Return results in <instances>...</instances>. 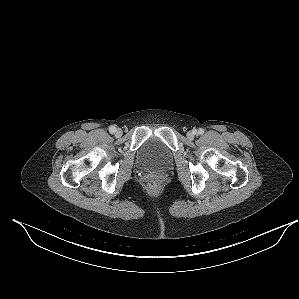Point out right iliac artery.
<instances>
[{"mask_svg": "<svg viewBox=\"0 0 299 299\" xmlns=\"http://www.w3.org/2000/svg\"><path fill=\"white\" fill-rule=\"evenodd\" d=\"M115 131H116V127L115 126L112 125V126L109 127V132L110 133H115Z\"/></svg>", "mask_w": 299, "mask_h": 299, "instance_id": "obj_1", "label": "right iliac artery"}]
</instances>
